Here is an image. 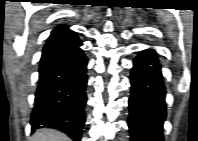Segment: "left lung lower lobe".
Masks as SVG:
<instances>
[{
    "mask_svg": "<svg viewBox=\"0 0 198 141\" xmlns=\"http://www.w3.org/2000/svg\"><path fill=\"white\" fill-rule=\"evenodd\" d=\"M128 126L131 141H163L165 86L155 50H143L131 69Z\"/></svg>",
    "mask_w": 198,
    "mask_h": 141,
    "instance_id": "0a47b994",
    "label": "left lung lower lobe"
}]
</instances>
